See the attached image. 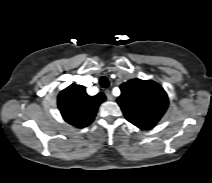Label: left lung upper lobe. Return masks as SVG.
Returning a JSON list of instances; mask_svg holds the SVG:
<instances>
[{
	"mask_svg": "<svg viewBox=\"0 0 212 183\" xmlns=\"http://www.w3.org/2000/svg\"><path fill=\"white\" fill-rule=\"evenodd\" d=\"M120 89L117 102L125 118L140 129L153 128L168 107L166 92L152 80L132 79Z\"/></svg>",
	"mask_w": 212,
	"mask_h": 183,
	"instance_id": "1",
	"label": "left lung upper lobe"
}]
</instances>
